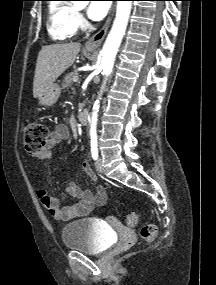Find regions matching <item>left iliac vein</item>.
Masks as SVG:
<instances>
[{
    "label": "left iliac vein",
    "mask_w": 216,
    "mask_h": 285,
    "mask_svg": "<svg viewBox=\"0 0 216 285\" xmlns=\"http://www.w3.org/2000/svg\"><path fill=\"white\" fill-rule=\"evenodd\" d=\"M95 167L97 169L98 172L103 173L104 172V168H103V164H102V160L100 158H98L95 162Z\"/></svg>",
    "instance_id": "obj_1"
}]
</instances>
